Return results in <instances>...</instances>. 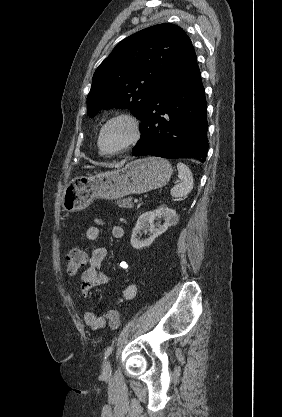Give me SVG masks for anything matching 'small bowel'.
Wrapping results in <instances>:
<instances>
[{
	"instance_id": "obj_1",
	"label": "small bowel",
	"mask_w": 282,
	"mask_h": 417,
	"mask_svg": "<svg viewBox=\"0 0 282 417\" xmlns=\"http://www.w3.org/2000/svg\"><path fill=\"white\" fill-rule=\"evenodd\" d=\"M105 221L101 218H96L93 224L86 230V237L91 242H96L99 238V227ZM111 235L115 239H122L124 237V229L120 225H114L111 228ZM107 249L104 246L98 245L93 248L90 255L87 257V265L81 277L80 295L87 298L92 289L109 282L112 279V274L103 267V261L106 258ZM121 266H126L122 263ZM138 287L136 283L128 285L122 292L124 300H132L136 297ZM85 324L93 330L105 328L103 316H97L91 311L84 313Z\"/></svg>"
}]
</instances>
